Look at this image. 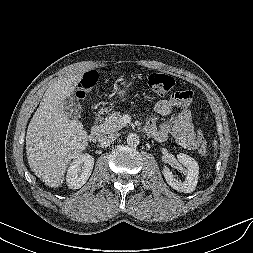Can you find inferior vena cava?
Here are the masks:
<instances>
[{
  "label": "inferior vena cava",
  "instance_id": "1",
  "mask_svg": "<svg viewBox=\"0 0 253 253\" xmlns=\"http://www.w3.org/2000/svg\"><path fill=\"white\" fill-rule=\"evenodd\" d=\"M117 137H118L117 133H111V134L102 136L99 139V142L101 145H109L110 143L115 141Z\"/></svg>",
  "mask_w": 253,
  "mask_h": 253
}]
</instances>
